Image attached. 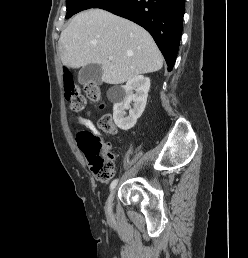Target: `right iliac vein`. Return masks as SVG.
Returning <instances> with one entry per match:
<instances>
[{"label":"right iliac vein","mask_w":248,"mask_h":258,"mask_svg":"<svg viewBox=\"0 0 248 258\" xmlns=\"http://www.w3.org/2000/svg\"><path fill=\"white\" fill-rule=\"evenodd\" d=\"M115 194H116V188L114 187V189H112V191L108 197V200H107V209L108 210H110V208H111L112 202L115 198Z\"/></svg>","instance_id":"63e3f726"}]
</instances>
